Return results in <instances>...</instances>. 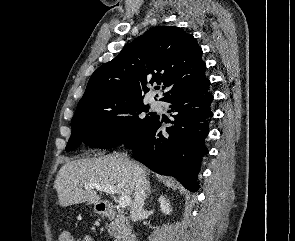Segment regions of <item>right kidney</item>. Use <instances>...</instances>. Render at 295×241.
<instances>
[{
	"label": "right kidney",
	"instance_id": "obj_1",
	"mask_svg": "<svg viewBox=\"0 0 295 241\" xmlns=\"http://www.w3.org/2000/svg\"><path fill=\"white\" fill-rule=\"evenodd\" d=\"M159 203L161 207V211L165 214L168 215L172 212V208L170 206L169 200H166L164 196L159 197Z\"/></svg>",
	"mask_w": 295,
	"mask_h": 241
}]
</instances>
